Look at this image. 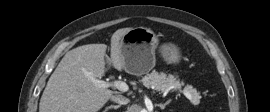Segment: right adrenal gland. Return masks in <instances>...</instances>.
<instances>
[{
  "mask_svg": "<svg viewBox=\"0 0 270 112\" xmlns=\"http://www.w3.org/2000/svg\"><path fill=\"white\" fill-rule=\"evenodd\" d=\"M120 107V105H110L108 107H106V109L103 112H107L109 109H118Z\"/></svg>",
  "mask_w": 270,
  "mask_h": 112,
  "instance_id": "2a0ac1e0",
  "label": "right adrenal gland"
}]
</instances>
